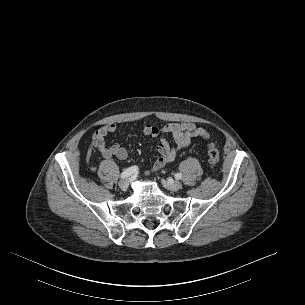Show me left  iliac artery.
Masks as SVG:
<instances>
[{
	"instance_id": "obj_1",
	"label": "left iliac artery",
	"mask_w": 305,
	"mask_h": 305,
	"mask_svg": "<svg viewBox=\"0 0 305 305\" xmlns=\"http://www.w3.org/2000/svg\"><path fill=\"white\" fill-rule=\"evenodd\" d=\"M181 177H182V174H181V173H176V174H175V178H176V179H181Z\"/></svg>"
}]
</instances>
